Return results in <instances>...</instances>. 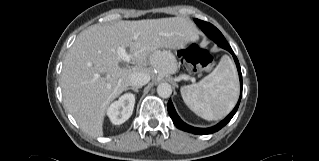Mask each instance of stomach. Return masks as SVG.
<instances>
[{
    "mask_svg": "<svg viewBox=\"0 0 319 161\" xmlns=\"http://www.w3.org/2000/svg\"><path fill=\"white\" fill-rule=\"evenodd\" d=\"M152 61L162 75H170L177 71V60L170 50H156L152 54Z\"/></svg>",
    "mask_w": 319,
    "mask_h": 161,
    "instance_id": "1",
    "label": "stomach"
}]
</instances>
